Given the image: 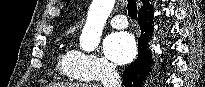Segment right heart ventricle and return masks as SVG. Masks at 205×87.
Here are the masks:
<instances>
[{
    "mask_svg": "<svg viewBox=\"0 0 205 87\" xmlns=\"http://www.w3.org/2000/svg\"><path fill=\"white\" fill-rule=\"evenodd\" d=\"M75 57V50L62 46L56 57V65L60 73L68 80L83 82L87 79L78 73L75 65Z\"/></svg>",
    "mask_w": 205,
    "mask_h": 87,
    "instance_id": "right-heart-ventricle-1",
    "label": "right heart ventricle"
}]
</instances>
